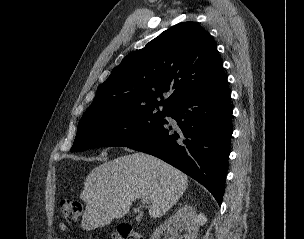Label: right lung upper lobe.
<instances>
[{
    "label": "right lung upper lobe",
    "instance_id": "1",
    "mask_svg": "<svg viewBox=\"0 0 304 239\" xmlns=\"http://www.w3.org/2000/svg\"><path fill=\"white\" fill-rule=\"evenodd\" d=\"M222 73V61L209 33L198 23L182 22L126 56L98 87L82 118L120 107L167 108ZM165 93L169 97L163 101Z\"/></svg>",
    "mask_w": 304,
    "mask_h": 239
}]
</instances>
